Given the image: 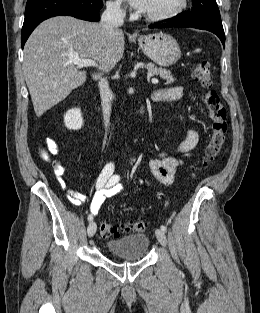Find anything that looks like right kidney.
<instances>
[{
    "label": "right kidney",
    "mask_w": 260,
    "mask_h": 313,
    "mask_svg": "<svg viewBox=\"0 0 260 313\" xmlns=\"http://www.w3.org/2000/svg\"><path fill=\"white\" fill-rule=\"evenodd\" d=\"M65 126L72 130H79L84 124L79 108L71 109L64 115Z\"/></svg>",
    "instance_id": "right-kidney-1"
}]
</instances>
